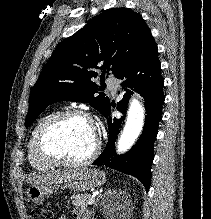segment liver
<instances>
[{"label":"liver","instance_id":"obj_1","mask_svg":"<svg viewBox=\"0 0 211 219\" xmlns=\"http://www.w3.org/2000/svg\"><path fill=\"white\" fill-rule=\"evenodd\" d=\"M78 174V170H66L63 172H50L47 174L34 176L29 180L32 185H52L70 181Z\"/></svg>","mask_w":211,"mask_h":219}]
</instances>
